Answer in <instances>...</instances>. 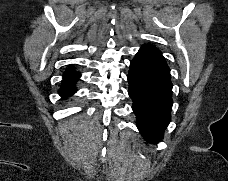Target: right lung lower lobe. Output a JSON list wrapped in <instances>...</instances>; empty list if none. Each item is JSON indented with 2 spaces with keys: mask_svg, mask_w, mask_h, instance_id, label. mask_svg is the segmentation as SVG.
Instances as JSON below:
<instances>
[{
  "mask_svg": "<svg viewBox=\"0 0 228 181\" xmlns=\"http://www.w3.org/2000/svg\"><path fill=\"white\" fill-rule=\"evenodd\" d=\"M80 73L74 71L73 69H67L63 74V81L61 88L59 90L60 96L65 99L68 96H71L76 92L75 83L78 81Z\"/></svg>",
  "mask_w": 228,
  "mask_h": 181,
  "instance_id": "1",
  "label": "right lung lower lobe"
}]
</instances>
